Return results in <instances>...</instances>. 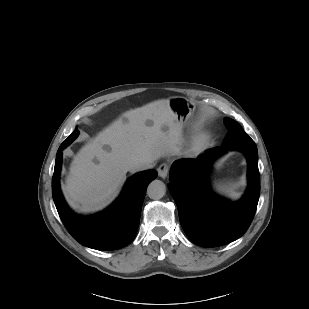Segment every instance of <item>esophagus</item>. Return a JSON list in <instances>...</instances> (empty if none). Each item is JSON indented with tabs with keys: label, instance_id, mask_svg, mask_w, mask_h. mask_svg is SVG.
<instances>
[{
	"label": "esophagus",
	"instance_id": "obj_1",
	"mask_svg": "<svg viewBox=\"0 0 309 309\" xmlns=\"http://www.w3.org/2000/svg\"><path fill=\"white\" fill-rule=\"evenodd\" d=\"M158 175L161 177V178H166L167 175H168V172H169V166L167 165V163H162L158 169Z\"/></svg>",
	"mask_w": 309,
	"mask_h": 309
}]
</instances>
